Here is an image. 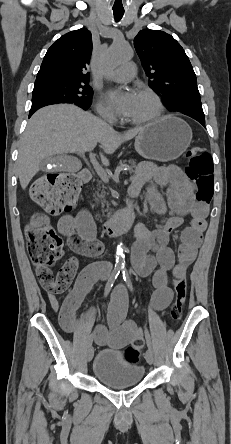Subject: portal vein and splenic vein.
<instances>
[{"instance_id": "portal-vein-and-splenic-vein-1", "label": "portal vein and splenic vein", "mask_w": 231, "mask_h": 444, "mask_svg": "<svg viewBox=\"0 0 231 444\" xmlns=\"http://www.w3.org/2000/svg\"><path fill=\"white\" fill-rule=\"evenodd\" d=\"M90 161H91V163H92L96 173L101 178V180L104 183H108L109 182V176L107 175L106 171L102 168V166L97 162L95 157L91 156L90 157ZM122 169H123V167H119L118 168V170H122Z\"/></svg>"}]
</instances>
